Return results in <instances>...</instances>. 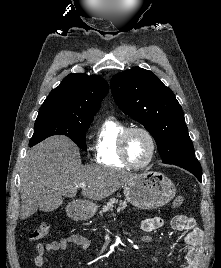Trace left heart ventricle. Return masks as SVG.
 Segmentation results:
<instances>
[{"instance_id": "1", "label": "left heart ventricle", "mask_w": 221, "mask_h": 268, "mask_svg": "<svg viewBox=\"0 0 221 268\" xmlns=\"http://www.w3.org/2000/svg\"><path fill=\"white\" fill-rule=\"evenodd\" d=\"M151 151V144L147 136L141 132H133L127 139V153L130 161L136 165L144 163Z\"/></svg>"}]
</instances>
